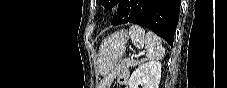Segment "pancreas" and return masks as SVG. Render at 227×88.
Masks as SVG:
<instances>
[{
	"mask_svg": "<svg viewBox=\"0 0 227 88\" xmlns=\"http://www.w3.org/2000/svg\"><path fill=\"white\" fill-rule=\"evenodd\" d=\"M121 63L126 65L128 68H130V67H135L136 65H138L140 63V61L128 58V59L122 60Z\"/></svg>",
	"mask_w": 227,
	"mask_h": 88,
	"instance_id": "obj_1",
	"label": "pancreas"
}]
</instances>
